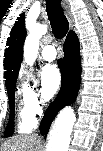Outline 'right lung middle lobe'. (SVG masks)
<instances>
[{
    "label": "right lung middle lobe",
    "mask_w": 103,
    "mask_h": 151,
    "mask_svg": "<svg viewBox=\"0 0 103 151\" xmlns=\"http://www.w3.org/2000/svg\"><path fill=\"white\" fill-rule=\"evenodd\" d=\"M6 87H7V92H8V98H9V104H10V120L7 124L6 130H5V136L9 137L13 134L14 132V110H15V103H14V90H15V85H16V80L15 81H9L5 82Z\"/></svg>",
    "instance_id": "dd1d6c3e"
}]
</instances>
